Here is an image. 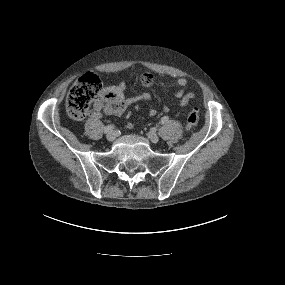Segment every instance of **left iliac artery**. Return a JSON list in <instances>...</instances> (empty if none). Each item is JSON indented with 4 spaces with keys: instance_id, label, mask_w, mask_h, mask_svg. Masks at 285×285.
<instances>
[{
    "instance_id": "obj_1",
    "label": "left iliac artery",
    "mask_w": 285,
    "mask_h": 285,
    "mask_svg": "<svg viewBox=\"0 0 285 285\" xmlns=\"http://www.w3.org/2000/svg\"><path fill=\"white\" fill-rule=\"evenodd\" d=\"M168 120H169V117H168V116H164V117L161 118V121H160V122H161L162 124H165V123L168 122Z\"/></svg>"
}]
</instances>
